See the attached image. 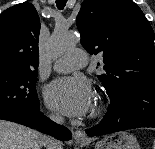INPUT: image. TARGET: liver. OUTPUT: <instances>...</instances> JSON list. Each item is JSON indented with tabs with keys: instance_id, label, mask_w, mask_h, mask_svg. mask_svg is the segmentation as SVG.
I'll return each mask as SVG.
<instances>
[{
	"instance_id": "6515ba94",
	"label": "liver",
	"mask_w": 155,
	"mask_h": 149,
	"mask_svg": "<svg viewBox=\"0 0 155 149\" xmlns=\"http://www.w3.org/2000/svg\"><path fill=\"white\" fill-rule=\"evenodd\" d=\"M45 137L38 131L0 120V149H42Z\"/></svg>"
}]
</instances>
